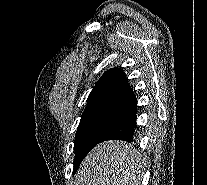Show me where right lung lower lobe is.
Here are the masks:
<instances>
[{
	"instance_id": "right-lung-lower-lobe-1",
	"label": "right lung lower lobe",
	"mask_w": 207,
	"mask_h": 185,
	"mask_svg": "<svg viewBox=\"0 0 207 185\" xmlns=\"http://www.w3.org/2000/svg\"><path fill=\"white\" fill-rule=\"evenodd\" d=\"M136 112L137 102L129 110L124 112L120 119L100 138L98 143L112 139L128 142L133 141V135L136 129Z\"/></svg>"
}]
</instances>
